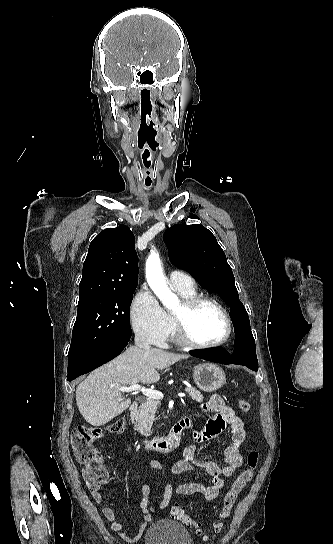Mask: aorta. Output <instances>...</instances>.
<instances>
[{
	"label": "aorta",
	"instance_id": "obj_1",
	"mask_svg": "<svg viewBox=\"0 0 333 544\" xmlns=\"http://www.w3.org/2000/svg\"><path fill=\"white\" fill-rule=\"evenodd\" d=\"M146 279L154 294L162 302L163 306L172 309L178 304V297L169 289L160 258L156 252H151L146 262Z\"/></svg>",
	"mask_w": 333,
	"mask_h": 544
}]
</instances>
